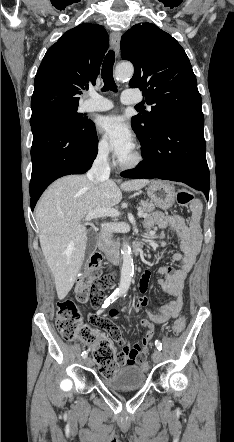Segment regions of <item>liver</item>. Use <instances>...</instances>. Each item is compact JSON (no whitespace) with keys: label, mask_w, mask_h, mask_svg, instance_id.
Segmentation results:
<instances>
[{"label":"liver","mask_w":234,"mask_h":442,"mask_svg":"<svg viewBox=\"0 0 234 442\" xmlns=\"http://www.w3.org/2000/svg\"><path fill=\"white\" fill-rule=\"evenodd\" d=\"M148 183L138 179L118 187L112 180L95 183L85 175H69L56 180L44 192L35 215L41 249L60 300L72 289L83 264L87 246L83 219L96 208L117 205L122 199L121 190H139Z\"/></svg>","instance_id":"obj_1"}]
</instances>
